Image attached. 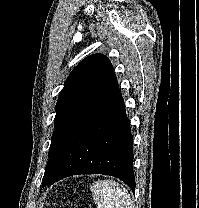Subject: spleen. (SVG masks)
I'll list each match as a JSON object with an SVG mask.
<instances>
[{
  "label": "spleen",
  "mask_w": 199,
  "mask_h": 208,
  "mask_svg": "<svg viewBox=\"0 0 199 208\" xmlns=\"http://www.w3.org/2000/svg\"><path fill=\"white\" fill-rule=\"evenodd\" d=\"M91 191L98 208H132V199L128 191L112 180L97 181Z\"/></svg>",
  "instance_id": "spleen-1"
}]
</instances>
